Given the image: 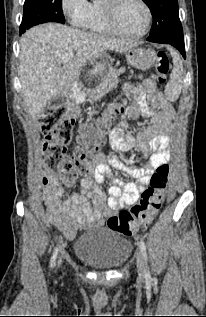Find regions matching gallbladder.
<instances>
[{
  "mask_svg": "<svg viewBox=\"0 0 206 317\" xmlns=\"http://www.w3.org/2000/svg\"><path fill=\"white\" fill-rule=\"evenodd\" d=\"M63 103H64V96L63 95H58V96L54 97L53 99H51L48 104L52 108H58Z\"/></svg>",
  "mask_w": 206,
  "mask_h": 317,
  "instance_id": "bac80fb5",
  "label": "gallbladder"
}]
</instances>
